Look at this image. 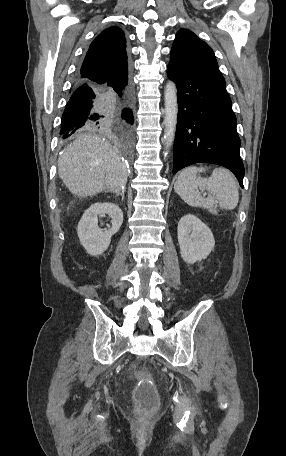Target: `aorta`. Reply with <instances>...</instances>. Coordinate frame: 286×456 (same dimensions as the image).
Masks as SVG:
<instances>
[{"instance_id":"1","label":"aorta","mask_w":286,"mask_h":456,"mask_svg":"<svg viewBox=\"0 0 286 456\" xmlns=\"http://www.w3.org/2000/svg\"><path fill=\"white\" fill-rule=\"evenodd\" d=\"M164 139L166 147H171L176 131L177 125V113H178V101H177V88L173 81H168L164 92Z\"/></svg>"}]
</instances>
